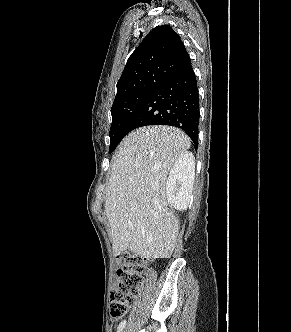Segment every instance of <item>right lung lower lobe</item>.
<instances>
[{
    "label": "right lung lower lobe",
    "mask_w": 291,
    "mask_h": 332,
    "mask_svg": "<svg viewBox=\"0 0 291 332\" xmlns=\"http://www.w3.org/2000/svg\"><path fill=\"white\" fill-rule=\"evenodd\" d=\"M199 117L197 81L190 64L154 88L132 117L127 133L148 125H170L185 131L198 146Z\"/></svg>",
    "instance_id": "obj_1"
}]
</instances>
